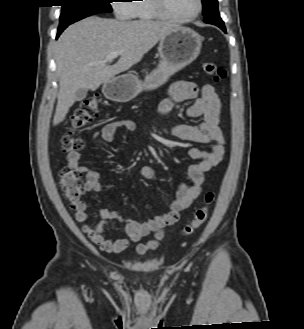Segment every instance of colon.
Here are the masks:
<instances>
[{
	"instance_id": "colon-1",
	"label": "colon",
	"mask_w": 304,
	"mask_h": 329,
	"mask_svg": "<svg viewBox=\"0 0 304 329\" xmlns=\"http://www.w3.org/2000/svg\"><path fill=\"white\" fill-rule=\"evenodd\" d=\"M203 70L207 75L212 76L215 82H221L226 77V71L211 62L204 63ZM98 113V96H91L82 102L72 118L69 131L61 137V149L63 152L74 153L83 148L84 143L82 139L75 136V131L85 127L97 117ZM59 187L72 208H75L81 202V198L85 193L82 174L71 167H64L60 171ZM214 197V193H206L205 204L195 211L193 220L183 228V235L193 234L206 222Z\"/></svg>"
}]
</instances>
